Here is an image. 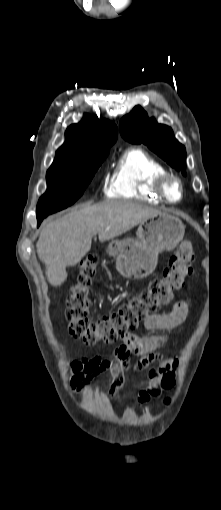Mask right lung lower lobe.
<instances>
[{
	"instance_id": "obj_1",
	"label": "right lung lower lobe",
	"mask_w": 221,
	"mask_h": 510,
	"mask_svg": "<svg viewBox=\"0 0 221 510\" xmlns=\"http://www.w3.org/2000/svg\"><path fill=\"white\" fill-rule=\"evenodd\" d=\"M45 217H46V216H39V217H37L38 226L40 225V223L42 222V220H43Z\"/></svg>"
}]
</instances>
